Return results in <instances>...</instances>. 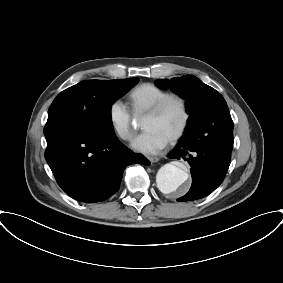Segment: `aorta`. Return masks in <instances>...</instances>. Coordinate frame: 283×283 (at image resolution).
Wrapping results in <instances>:
<instances>
[{"label":"aorta","mask_w":283,"mask_h":283,"mask_svg":"<svg viewBox=\"0 0 283 283\" xmlns=\"http://www.w3.org/2000/svg\"><path fill=\"white\" fill-rule=\"evenodd\" d=\"M188 176L187 168H181L172 163L165 164L157 173V187L164 194H179Z\"/></svg>","instance_id":"aorta-1"}]
</instances>
